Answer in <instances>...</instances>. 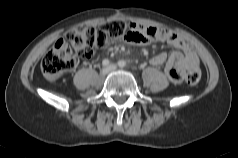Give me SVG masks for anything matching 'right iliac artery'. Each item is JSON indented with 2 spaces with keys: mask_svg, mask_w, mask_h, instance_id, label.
<instances>
[{
  "mask_svg": "<svg viewBox=\"0 0 238 158\" xmlns=\"http://www.w3.org/2000/svg\"><path fill=\"white\" fill-rule=\"evenodd\" d=\"M102 64H103V66L106 67V66H108L110 64V62H109L108 59H105V60H103Z\"/></svg>",
  "mask_w": 238,
  "mask_h": 158,
  "instance_id": "82829eb1",
  "label": "right iliac artery"
}]
</instances>
